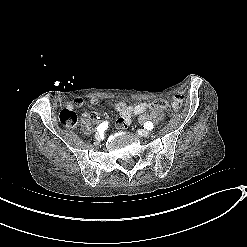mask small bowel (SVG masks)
Masks as SVG:
<instances>
[{
  "instance_id": "small-bowel-1",
  "label": "small bowel",
  "mask_w": 247,
  "mask_h": 247,
  "mask_svg": "<svg viewBox=\"0 0 247 247\" xmlns=\"http://www.w3.org/2000/svg\"><path fill=\"white\" fill-rule=\"evenodd\" d=\"M91 104L97 105L99 103V98L93 97L90 100ZM183 103V97L179 94L173 96L172 98V105L174 108L178 109ZM85 104V100L83 98H77L74 100L72 104H70L68 107L69 109H73L74 107H81ZM148 104L147 103H139L134 106H128L127 104L123 102H119L115 105V110L119 113V119L117 121V125L119 128H127L128 125L131 122V117L133 115L140 116L141 121H146L149 119H158L159 118V111L154 110L152 113L147 114L146 111L148 110ZM83 118H88V113L82 114ZM90 117L95 119L97 116L95 113H91Z\"/></svg>"
}]
</instances>
